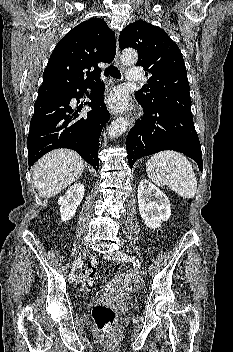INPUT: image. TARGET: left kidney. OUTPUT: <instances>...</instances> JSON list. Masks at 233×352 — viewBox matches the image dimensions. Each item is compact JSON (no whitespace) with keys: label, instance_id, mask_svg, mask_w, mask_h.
Masks as SVG:
<instances>
[{"label":"left kidney","instance_id":"obj_1","mask_svg":"<svg viewBox=\"0 0 233 352\" xmlns=\"http://www.w3.org/2000/svg\"><path fill=\"white\" fill-rule=\"evenodd\" d=\"M138 204L141 218L147 227L159 228L171 216L168 197L150 181L143 179L138 186Z\"/></svg>","mask_w":233,"mask_h":352}]
</instances>
